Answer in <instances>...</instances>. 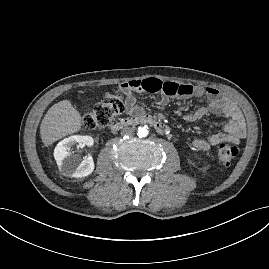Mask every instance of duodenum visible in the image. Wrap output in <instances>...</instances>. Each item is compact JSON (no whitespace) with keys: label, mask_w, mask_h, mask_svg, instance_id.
Returning <instances> with one entry per match:
<instances>
[{"label":"duodenum","mask_w":269,"mask_h":269,"mask_svg":"<svg viewBox=\"0 0 269 269\" xmlns=\"http://www.w3.org/2000/svg\"><path fill=\"white\" fill-rule=\"evenodd\" d=\"M138 124H149L161 134H167L169 132V127L165 123L147 114H136L120 119L112 125V130L119 131L124 127L134 126Z\"/></svg>","instance_id":"410a0bca"}]
</instances>
